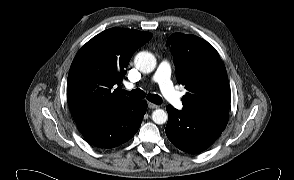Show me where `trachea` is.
Instances as JSON below:
<instances>
[{
    "label": "trachea",
    "instance_id": "trachea-1",
    "mask_svg": "<svg viewBox=\"0 0 294 180\" xmlns=\"http://www.w3.org/2000/svg\"><path fill=\"white\" fill-rule=\"evenodd\" d=\"M123 93L128 95L131 98H145L146 97L150 102L157 104V105L162 103V98L159 95H157V94L146 95V93L144 91H142L141 89H135L130 92L123 90Z\"/></svg>",
    "mask_w": 294,
    "mask_h": 180
}]
</instances>
